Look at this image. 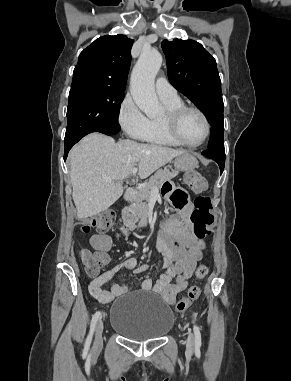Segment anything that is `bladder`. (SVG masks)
<instances>
[{
  "label": "bladder",
  "mask_w": 291,
  "mask_h": 381,
  "mask_svg": "<svg viewBox=\"0 0 291 381\" xmlns=\"http://www.w3.org/2000/svg\"><path fill=\"white\" fill-rule=\"evenodd\" d=\"M171 307L157 297L128 293L115 300L110 308V327L122 336L137 341L159 339L173 328Z\"/></svg>",
  "instance_id": "1"
}]
</instances>
